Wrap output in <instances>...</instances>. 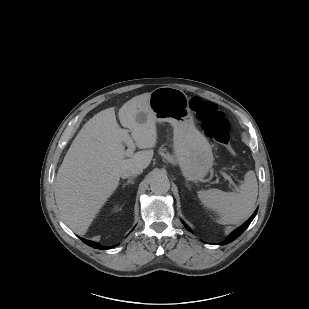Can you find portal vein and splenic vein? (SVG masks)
Segmentation results:
<instances>
[{
  "instance_id": "1",
  "label": "portal vein and splenic vein",
  "mask_w": 309,
  "mask_h": 309,
  "mask_svg": "<svg viewBox=\"0 0 309 309\" xmlns=\"http://www.w3.org/2000/svg\"><path fill=\"white\" fill-rule=\"evenodd\" d=\"M122 139L123 141L127 144L128 146V149L126 150V156H131L133 154V151L135 149V145H134V142L132 140V138L129 136L128 134V131L124 130L123 131V134H122ZM221 174L223 175V177L228 180L231 184H234L233 181H232V178L227 175L226 173L224 172H221Z\"/></svg>"
}]
</instances>
